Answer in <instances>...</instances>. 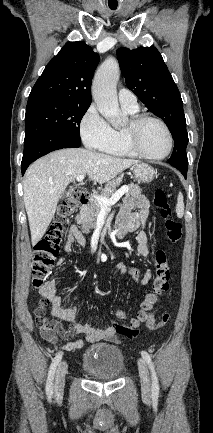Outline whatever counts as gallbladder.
I'll return each instance as SVG.
<instances>
[{
  "label": "gallbladder",
  "mask_w": 213,
  "mask_h": 433,
  "mask_svg": "<svg viewBox=\"0 0 213 433\" xmlns=\"http://www.w3.org/2000/svg\"><path fill=\"white\" fill-rule=\"evenodd\" d=\"M67 195H68V193H67V192H64V193L62 194V198L67 197Z\"/></svg>",
  "instance_id": "obj_1"
}]
</instances>
